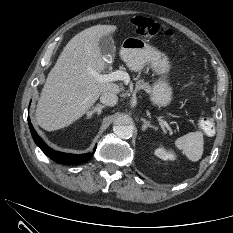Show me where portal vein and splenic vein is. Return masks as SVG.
Listing matches in <instances>:
<instances>
[{
    "label": "portal vein and splenic vein",
    "instance_id": "obj_1",
    "mask_svg": "<svg viewBox=\"0 0 233 233\" xmlns=\"http://www.w3.org/2000/svg\"><path fill=\"white\" fill-rule=\"evenodd\" d=\"M90 75H92L97 82L100 83H105V82H113V81H118V80H123L126 83L129 81V75L121 70H116L112 73L109 74H99L98 72L94 70H90L88 72ZM158 120L170 131L172 132L171 128L169 127L168 123L160 118Z\"/></svg>",
    "mask_w": 233,
    "mask_h": 233
}]
</instances>
